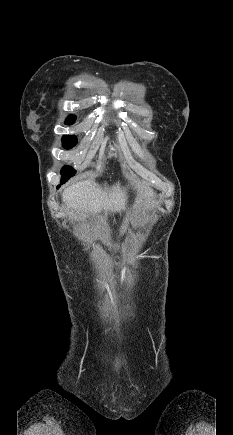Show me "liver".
<instances>
[{
    "mask_svg": "<svg viewBox=\"0 0 233 435\" xmlns=\"http://www.w3.org/2000/svg\"><path fill=\"white\" fill-rule=\"evenodd\" d=\"M140 197L150 202L153 190L138 185ZM62 201L72 212L83 217L105 212H120L126 205V192L120 184L112 187H100L92 180H82L67 187L62 193Z\"/></svg>",
    "mask_w": 233,
    "mask_h": 435,
    "instance_id": "liver-1",
    "label": "liver"
}]
</instances>
